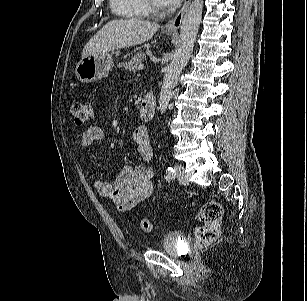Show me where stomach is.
<instances>
[{
  "instance_id": "obj_1",
  "label": "stomach",
  "mask_w": 307,
  "mask_h": 301,
  "mask_svg": "<svg viewBox=\"0 0 307 301\" xmlns=\"http://www.w3.org/2000/svg\"><path fill=\"white\" fill-rule=\"evenodd\" d=\"M170 33L168 32V34ZM112 64V54L108 52L90 55L78 63L75 74L82 83L98 81L108 75Z\"/></svg>"
}]
</instances>
